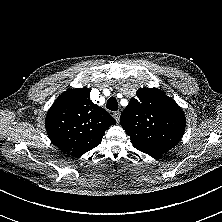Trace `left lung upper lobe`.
I'll list each match as a JSON object with an SVG mask.
<instances>
[{
  "mask_svg": "<svg viewBox=\"0 0 222 222\" xmlns=\"http://www.w3.org/2000/svg\"><path fill=\"white\" fill-rule=\"evenodd\" d=\"M121 126L140 151H168L181 140L185 115L178 104L157 88H141L120 116Z\"/></svg>",
  "mask_w": 222,
  "mask_h": 222,
  "instance_id": "obj_1",
  "label": "left lung upper lobe"
}]
</instances>
